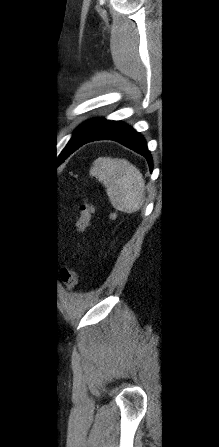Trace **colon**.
Here are the masks:
<instances>
[{"label": "colon", "mask_w": 219, "mask_h": 447, "mask_svg": "<svg viewBox=\"0 0 219 447\" xmlns=\"http://www.w3.org/2000/svg\"><path fill=\"white\" fill-rule=\"evenodd\" d=\"M94 213L93 204L87 199H83L80 205L79 216L76 221L77 232L84 234L90 225ZM61 280L69 290L75 289L78 281L76 265H69L61 269Z\"/></svg>", "instance_id": "colon-1"}]
</instances>
